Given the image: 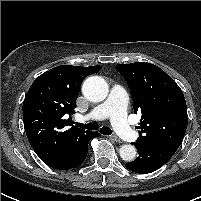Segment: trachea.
<instances>
[{"instance_id":"1","label":"trachea","mask_w":201,"mask_h":201,"mask_svg":"<svg viewBox=\"0 0 201 201\" xmlns=\"http://www.w3.org/2000/svg\"><path fill=\"white\" fill-rule=\"evenodd\" d=\"M74 124L80 128H83V129H89V130H97L98 129V126L96 123L83 124V123L75 122ZM99 131L101 134H104V135H111L112 134V130L108 127H102V128H100Z\"/></svg>"}]
</instances>
